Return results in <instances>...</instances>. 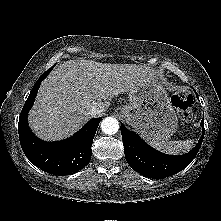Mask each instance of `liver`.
<instances>
[{
	"label": "liver",
	"instance_id": "6515ba94",
	"mask_svg": "<svg viewBox=\"0 0 221 221\" xmlns=\"http://www.w3.org/2000/svg\"><path fill=\"white\" fill-rule=\"evenodd\" d=\"M150 71L136 64L63 62L42 82L29 112V126L43 140L67 138L91 118L92 106L107 110L114 97L144 81Z\"/></svg>",
	"mask_w": 221,
	"mask_h": 221
}]
</instances>
